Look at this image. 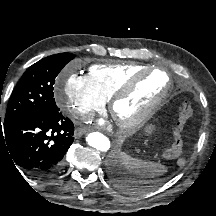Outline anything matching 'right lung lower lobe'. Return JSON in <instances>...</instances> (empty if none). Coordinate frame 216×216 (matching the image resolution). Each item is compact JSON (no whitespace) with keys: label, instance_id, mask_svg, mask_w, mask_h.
<instances>
[{"label":"right lung lower lobe","instance_id":"1","mask_svg":"<svg viewBox=\"0 0 216 216\" xmlns=\"http://www.w3.org/2000/svg\"><path fill=\"white\" fill-rule=\"evenodd\" d=\"M74 125L59 111L0 124V151L37 178L58 174L74 140Z\"/></svg>","mask_w":216,"mask_h":216}]
</instances>
